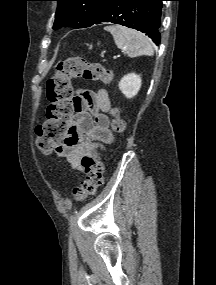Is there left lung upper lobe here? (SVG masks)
<instances>
[{"instance_id":"obj_1","label":"left lung upper lobe","mask_w":216,"mask_h":285,"mask_svg":"<svg viewBox=\"0 0 216 285\" xmlns=\"http://www.w3.org/2000/svg\"><path fill=\"white\" fill-rule=\"evenodd\" d=\"M58 2L53 29L70 25L90 27L112 0H55Z\"/></svg>"}]
</instances>
